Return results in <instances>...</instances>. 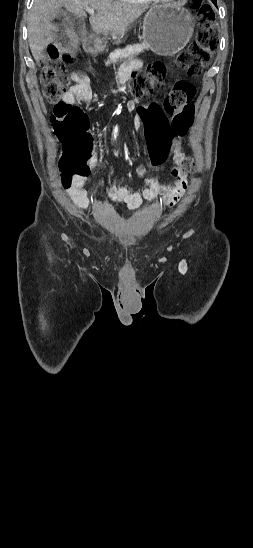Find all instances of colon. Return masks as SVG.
Here are the masks:
<instances>
[{
    "instance_id": "obj_1",
    "label": "colon",
    "mask_w": 253,
    "mask_h": 548,
    "mask_svg": "<svg viewBox=\"0 0 253 548\" xmlns=\"http://www.w3.org/2000/svg\"><path fill=\"white\" fill-rule=\"evenodd\" d=\"M202 0L200 4V31L196 40L180 52L173 60V67L188 76L199 75L211 61L217 47L218 29L213 12ZM73 45H53L41 59V83L44 97L55 103L52 121L56 135L63 144L59 159V170L63 185H68L77 176H87L90 168L87 161L92 157L94 140L89 131L87 116L77 105L61 100L68 92L69 79L65 66L73 61ZM167 67L161 62L152 63L145 72H133L130 92L137 96H149L164 86ZM166 99H146L136 114L145 121L143 134L148 139L151 163L159 165L168 158V142L173 137H183L194 118L193 99L196 86L185 82L171 81ZM194 160L183 156L179 171L187 174L194 170Z\"/></svg>"
}]
</instances>
